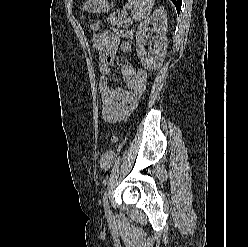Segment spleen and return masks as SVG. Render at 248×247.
Returning <instances> with one entry per match:
<instances>
[{"label":"spleen","mask_w":248,"mask_h":247,"mask_svg":"<svg viewBox=\"0 0 248 247\" xmlns=\"http://www.w3.org/2000/svg\"><path fill=\"white\" fill-rule=\"evenodd\" d=\"M155 0H128L133 5L132 19L141 21L145 19L151 12Z\"/></svg>","instance_id":"3e777b00"}]
</instances>
